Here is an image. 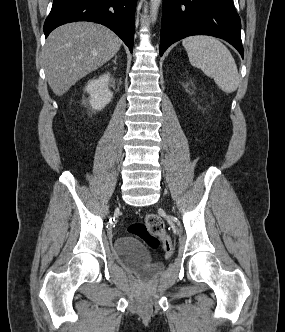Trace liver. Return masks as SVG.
<instances>
[{
    "instance_id": "obj_1",
    "label": "liver",
    "mask_w": 285,
    "mask_h": 332,
    "mask_svg": "<svg viewBox=\"0 0 285 332\" xmlns=\"http://www.w3.org/2000/svg\"><path fill=\"white\" fill-rule=\"evenodd\" d=\"M120 38L107 27L74 22L56 28L44 49L45 73L52 91L61 96L120 50Z\"/></svg>"
}]
</instances>
